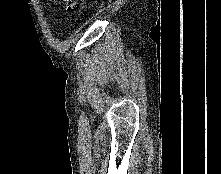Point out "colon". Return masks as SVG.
<instances>
[{"label":"colon","mask_w":221,"mask_h":174,"mask_svg":"<svg viewBox=\"0 0 221 174\" xmlns=\"http://www.w3.org/2000/svg\"><path fill=\"white\" fill-rule=\"evenodd\" d=\"M64 10L71 13L74 9L79 8L82 4L80 0H61Z\"/></svg>","instance_id":"colon-1"}]
</instances>
